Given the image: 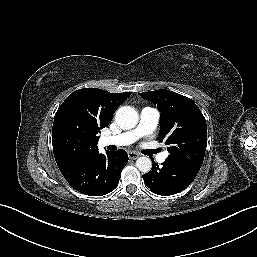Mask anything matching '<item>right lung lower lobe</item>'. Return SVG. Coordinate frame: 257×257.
<instances>
[{"label":"right lung lower lobe","mask_w":257,"mask_h":257,"mask_svg":"<svg viewBox=\"0 0 257 257\" xmlns=\"http://www.w3.org/2000/svg\"><path fill=\"white\" fill-rule=\"evenodd\" d=\"M127 161V152L122 149L106 152V155L97 150L73 162L59 164L58 167L67 182L78 192L102 196L117 187Z\"/></svg>","instance_id":"98d812e1"}]
</instances>
